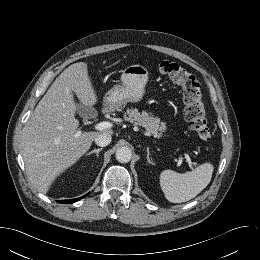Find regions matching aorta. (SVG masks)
Wrapping results in <instances>:
<instances>
[{"instance_id":"762f6f07","label":"aorta","mask_w":260,"mask_h":260,"mask_svg":"<svg viewBox=\"0 0 260 260\" xmlns=\"http://www.w3.org/2000/svg\"><path fill=\"white\" fill-rule=\"evenodd\" d=\"M115 156L118 162L127 163L131 160L132 152L129 147L123 146L117 149Z\"/></svg>"}]
</instances>
